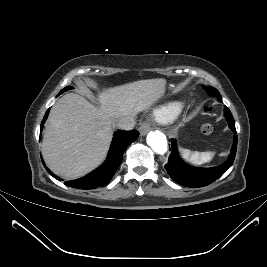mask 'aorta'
<instances>
[{
	"mask_svg": "<svg viewBox=\"0 0 267 267\" xmlns=\"http://www.w3.org/2000/svg\"><path fill=\"white\" fill-rule=\"evenodd\" d=\"M147 144L154 152L161 155L166 153L168 149L166 136L159 131H151L148 133Z\"/></svg>",
	"mask_w": 267,
	"mask_h": 267,
	"instance_id": "762f6f07",
	"label": "aorta"
}]
</instances>
